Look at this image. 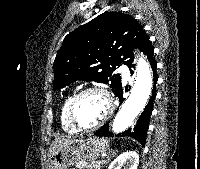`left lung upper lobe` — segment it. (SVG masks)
Here are the masks:
<instances>
[{"label":"left lung upper lobe","instance_id":"left-lung-upper-lobe-1","mask_svg":"<svg viewBox=\"0 0 200 169\" xmlns=\"http://www.w3.org/2000/svg\"><path fill=\"white\" fill-rule=\"evenodd\" d=\"M150 45L131 15L105 12L65 37L54 61L53 88L85 80L109 84L116 93L122 86L116 66H132L134 47L145 53Z\"/></svg>","mask_w":200,"mask_h":169}]
</instances>
